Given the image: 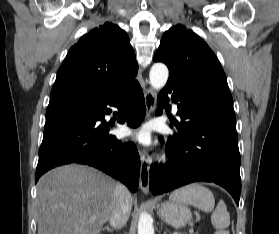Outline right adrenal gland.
I'll return each mask as SVG.
<instances>
[{
    "label": "right adrenal gland",
    "instance_id": "obj_1",
    "mask_svg": "<svg viewBox=\"0 0 279 234\" xmlns=\"http://www.w3.org/2000/svg\"><path fill=\"white\" fill-rule=\"evenodd\" d=\"M103 230H106L108 232H113L114 228H110L109 226H106V227L103 228Z\"/></svg>",
    "mask_w": 279,
    "mask_h": 234
}]
</instances>
